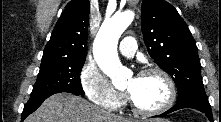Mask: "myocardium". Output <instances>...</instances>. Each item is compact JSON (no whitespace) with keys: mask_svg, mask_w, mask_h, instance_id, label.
<instances>
[{"mask_svg":"<svg viewBox=\"0 0 221 122\" xmlns=\"http://www.w3.org/2000/svg\"><path fill=\"white\" fill-rule=\"evenodd\" d=\"M150 74L159 75L166 84L167 99L164 102V104H162L158 108L145 109V108L140 107L132 99V97L128 93H126V95H125L126 101L129 104V106L131 107V109L135 113L140 114V115H144V116H154V115L162 114V113L166 112L167 110H169L173 106V104L175 103V100H176V87H175V83H174L173 79L171 78V76L165 70H163L159 67L145 68L139 72L138 76H145V75H150Z\"/></svg>","mask_w":221,"mask_h":122,"instance_id":"myocardium-1","label":"myocardium"}]
</instances>
